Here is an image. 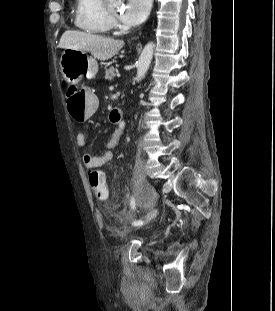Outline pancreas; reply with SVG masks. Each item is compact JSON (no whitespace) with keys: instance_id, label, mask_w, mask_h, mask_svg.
<instances>
[{"instance_id":"cf45deb5","label":"pancreas","mask_w":275,"mask_h":311,"mask_svg":"<svg viewBox=\"0 0 275 311\" xmlns=\"http://www.w3.org/2000/svg\"><path fill=\"white\" fill-rule=\"evenodd\" d=\"M115 71L116 69L114 67H110L108 70L105 72V79L106 80H112L115 76Z\"/></svg>"}]
</instances>
